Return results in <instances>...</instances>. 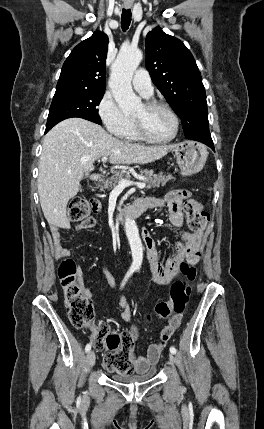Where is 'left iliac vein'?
I'll list each match as a JSON object with an SVG mask.
<instances>
[{
  "label": "left iliac vein",
  "instance_id": "4c4485c4",
  "mask_svg": "<svg viewBox=\"0 0 264 429\" xmlns=\"http://www.w3.org/2000/svg\"><path fill=\"white\" fill-rule=\"evenodd\" d=\"M169 360H170V364L173 366L176 362V358H175L174 354L171 353L169 355Z\"/></svg>",
  "mask_w": 264,
  "mask_h": 429
}]
</instances>
